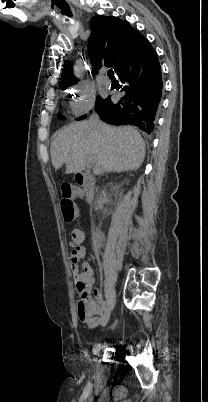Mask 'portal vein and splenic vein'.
Here are the masks:
<instances>
[{
	"mask_svg": "<svg viewBox=\"0 0 208 402\" xmlns=\"http://www.w3.org/2000/svg\"><path fill=\"white\" fill-rule=\"evenodd\" d=\"M91 162H89L88 166H90Z\"/></svg>",
	"mask_w": 208,
	"mask_h": 402,
	"instance_id": "18ae733b",
	"label": "portal vein and splenic vein"
}]
</instances>
